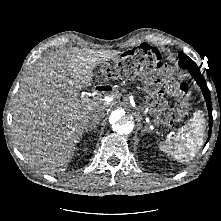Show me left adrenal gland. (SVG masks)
I'll return each instance as SVG.
<instances>
[{
    "label": "left adrenal gland",
    "mask_w": 221,
    "mask_h": 221,
    "mask_svg": "<svg viewBox=\"0 0 221 221\" xmlns=\"http://www.w3.org/2000/svg\"><path fill=\"white\" fill-rule=\"evenodd\" d=\"M145 131H147V128H146V127L143 129V132H145Z\"/></svg>",
    "instance_id": "1"
}]
</instances>
